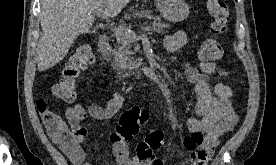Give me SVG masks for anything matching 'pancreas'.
Returning a JSON list of instances; mask_svg holds the SVG:
<instances>
[{"instance_id":"cf45deb5","label":"pancreas","mask_w":276,"mask_h":165,"mask_svg":"<svg viewBox=\"0 0 276 165\" xmlns=\"http://www.w3.org/2000/svg\"><path fill=\"white\" fill-rule=\"evenodd\" d=\"M153 20L151 23L152 30L157 33H162L165 29L169 28V25L163 23L159 16H150ZM128 28H131V24ZM117 46L114 49H110L107 54V60L111 62L113 69L118 71L131 70L135 67V61L131 57L133 52L130 50L132 39L125 36L116 35Z\"/></svg>"}]
</instances>
